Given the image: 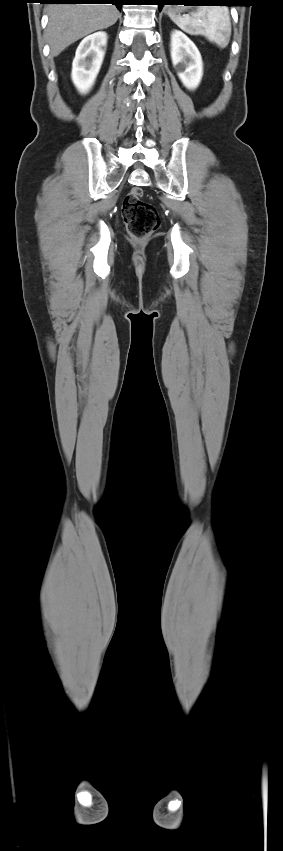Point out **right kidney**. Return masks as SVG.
Instances as JSON below:
<instances>
[{"instance_id": "1", "label": "right kidney", "mask_w": 283, "mask_h": 851, "mask_svg": "<svg viewBox=\"0 0 283 851\" xmlns=\"http://www.w3.org/2000/svg\"><path fill=\"white\" fill-rule=\"evenodd\" d=\"M106 44L107 34L102 31L85 37L79 44L71 77L80 93H87L93 86L104 59Z\"/></svg>"}]
</instances>
